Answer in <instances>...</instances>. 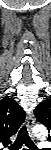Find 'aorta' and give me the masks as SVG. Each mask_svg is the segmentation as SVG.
<instances>
[{"mask_svg":"<svg viewBox=\"0 0 51 150\" xmlns=\"http://www.w3.org/2000/svg\"><path fill=\"white\" fill-rule=\"evenodd\" d=\"M33 133L37 138H39L41 140H45L48 136V131H47L46 127L43 125L34 126Z\"/></svg>","mask_w":51,"mask_h":150,"instance_id":"obj_1","label":"aorta"}]
</instances>
